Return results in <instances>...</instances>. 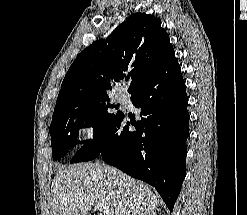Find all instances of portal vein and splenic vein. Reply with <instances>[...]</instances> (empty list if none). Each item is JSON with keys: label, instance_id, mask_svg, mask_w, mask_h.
Masks as SVG:
<instances>
[{"label": "portal vein and splenic vein", "instance_id": "portal-vein-and-splenic-vein-1", "mask_svg": "<svg viewBox=\"0 0 247 215\" xmlns=\"http://www.w3.org/2000/svg\"><path fill=\"white\" fill-rule=\"evenodd\" d=\"M97 209L98 210H103L105 213H108L109 211L107 210V208L105 206H103L102 204H97Z\"/></svg>", "mask_w": 247, "mask_h": 215}]
</instances>
